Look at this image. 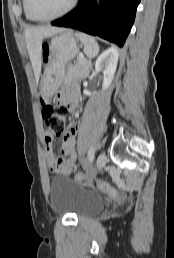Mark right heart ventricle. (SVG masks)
<instances>
[{"instance_id": "obj_1", "label": "right heart ventricle", "mask_w": 174, "mask_h": 258, "mask_svg": "<svg viewBox=\"0 0 174 258\" xmlns=\"http://www.w3.org/2000/svg\"><path fill=\"white\" fill-rule=\"evenodd\" d=\"M22 5H23V10H24V14L26 16V18L30 21H33V19L30 17V15L27 13L26 11V5H25V0H22Z\"/></svg>"}]
</instances>
